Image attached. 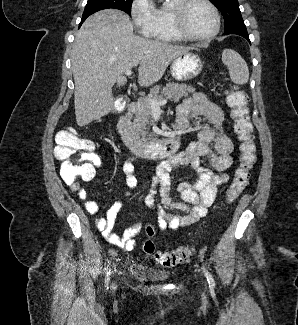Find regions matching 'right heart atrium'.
<instances>
[{
	"instance_id": "obj_1",
	"label": "right heart atrium",
	"mask_w": 298,
	"mask_h": 325,
	"mask_svg": "<svg viewBox=\"0 0 298 325\" xmlns=\"http://www.w3.org/2000/svg\"><path fill=\"white\" fill-rule=\"evenodd\" d=\"M130 15L139 37H148L149 41H160L162 37L160 25H149L154 23V7L149 0H134Z\"/></svg>"
}]
</instances>
